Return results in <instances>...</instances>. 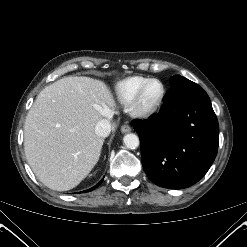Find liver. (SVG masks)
<instances>
[{
  "instance_id": "1",
  "label": "liver",
  "mask_w": 247,
  "mask_h": 247,
  "mask_svg": "<svg viewBox=\"0 0 247 247\" xmlns=\"http://www.w3.org/2000/svg\"><path fill=\"white\" fill-rule=\"evenodd\" d=\"M115 105L105 83L89 77H64L38 94L26 117L24 150L45 186L67 191L90 173L104 142L95 126L112 120Z\"/></svg>"
}]
</instances>
